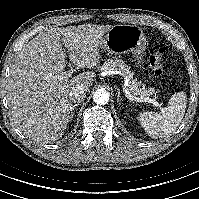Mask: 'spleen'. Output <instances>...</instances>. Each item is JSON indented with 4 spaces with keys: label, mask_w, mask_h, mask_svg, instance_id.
Segmentation results:
<instances>
[{
    "label": "spleen",
    "mask_w": 199,
    "mask_h": 199,
    "mask_svg": "<svg viewBox=\"0 0 199 199\" xmlns=\"http://www.w3.org/2000/svg\"><path fill=\"white\" fill-rule=\"evenodd\" d=\"M187 105L185 92L175 93L164 112H143L139 114L141 126L150 137L160 138L174 132L181 123Z\"/></svg>",
    "instance_id": "3e777b00"
}]
</instances>
